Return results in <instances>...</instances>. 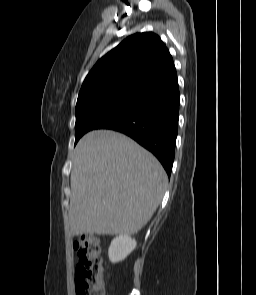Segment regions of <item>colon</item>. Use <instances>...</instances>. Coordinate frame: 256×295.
Segmentation results:
<instances>
[{
	"instance_id": "colon-1",
	"label": "colon",
	"mask_w": 256,
	"mask_h": 295,
	"mask_svg": "<svg viewBox=\"0 0 256 295\" xmlns=\"http://www.w3.org/2000/svg\"><path fill=\"white\" fill-rule=\"evenodd\" d=\"M73 247L79 258L74 279L76 295H105L99 240L81 235L74 241Z\"/></svg>"
}]
</instances>
